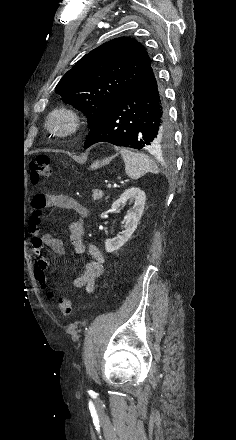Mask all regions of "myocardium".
Returning a JSON list of instances; mask_svg holds the SVG:
<instances>
[{"instance_id":"obj_1","label":"myocardium","mask_w":236,"mask_h":440,"mask_svg":"<svg viewBox=\"0 0 236 440\" xmlns=\"http://www.w3.org/2000/svg\"><path fill=\"white\" fill-rule=\"evenodd\" d=\"M45 127L50 135L57 139L76 136L82 128L79 112L69 106L56 107L45 119Z\"/></svg>"}]
</instances>
